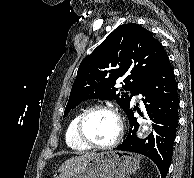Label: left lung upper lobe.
I'll return each mask as SVG.
<instances>
[{"label": "left lung upper lobe", "instance_id": "5c2ea615", "mask_svg": "<svg viewBox=\"0 0 194 178\" xmlns=\"http://www.w3.org/2000/svg\"><path fill=\"white\" fill-rule=\"evenodd\" d=\"M167 59L162 44L150 31L135 23L120 25L81 62L64 117L92 98L116 100L126 112L134 90L157 73ZM119 78L125 84L123 89L116 87Z\"/></svg>", "mask_w": 194, "mask_h": 178}]
</instances>
